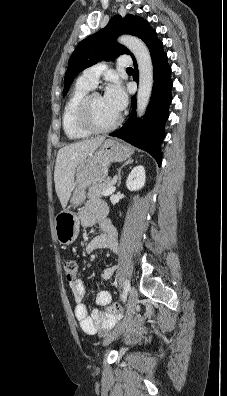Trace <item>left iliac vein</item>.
<instances>
[{
	"label": "left iliac vein",
	"mask_w": 227,
	"mask_h": 396,
	"mask_svg": "<svg viewBox=\"0 0 227 396\" xmlns=\"http://www.w3.org/2000/svg\"><path fill=\"white\" fill-rule=\"evenodd\" d=\"M137 301H138V292H137V289H136L134 286H132V287L130 288V291H129V297H128V314H127L126 320H125L124 324H123L120 328H118L117 330H115L112 334H110V335L103 341V345H108V344H110L114 339H116L118 336H120V335L124 332V330H125L127 324L130 322V320H131L132 317H133V314H134L135 309H136Z\"/></svg>",
	"instance_id": "obj_1"
}]
</instances>
